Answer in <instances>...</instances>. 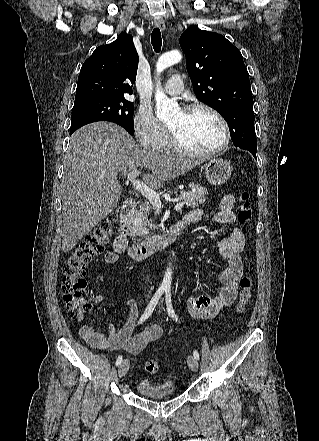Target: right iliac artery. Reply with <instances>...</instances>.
I'll use <instances>...</instances> for the list:
<instances>
[{"label":"right iliac artery","instance_id":"82829eb1","mask_svg":"<svg viewBox=\"0 0 319 441\" xmlns=\"http://www.w3.org/2000/svg\"><path fill=\"white\" fill-rule=\"evenodd\" d=\"M163 292H164V290H162V289H158V290L156 291V293L154 294V296H153L152 299L150 300L149 304L147 305V307H146V309H145L143 315H142L141 318L139 319L138 324L143 323L146 319H148V318L151 316V314H152V312H153L155 306L157 305V302L159 301L160 297L162 296ZM121 362H122V355H120V356L117 358V360H116V365H117V366L120 365Z\"/></svg>","mask_w":319,"mask_h":441}]
</instances>
